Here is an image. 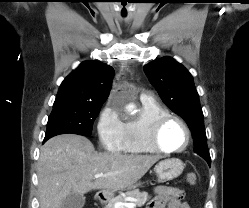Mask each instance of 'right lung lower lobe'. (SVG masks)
I'll return each instance as SVG.
<instances>
[{
  "instance_id": "obj_1",
  "label": "right lung lower lobe",
  "mask_w": 249,
  "mask_h": 208,
  "mask_svg": "<svg viewBox=\"0 0 249 208\" xmlns=\"http://www.w3.org/2000/svg\"><path fill=\"white\" fill-rule=\"evenodd\" d=\"M51 137H53V136H48V137L45 136L43 143L46 142V141H47L48 139H50Z\"/></svg>"
}]
</instances>
